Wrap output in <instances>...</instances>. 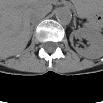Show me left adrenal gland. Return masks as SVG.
Returning <instances> with one entry per match:
<instances>
[{"instance_id": "obj_1", "label": "left adrenal gland", "mask_w": 103, "mask_h": 103, "mask_svg": "<svg viewBox=\"0 0 103 103\" xmlns=\"http://www.w3.org/2000/svg\"><path fill=\"white\" fill-rule=\"evenodd\" d=\"M74 28H76V21H74Z\"/></svg>"}]
</instances>
